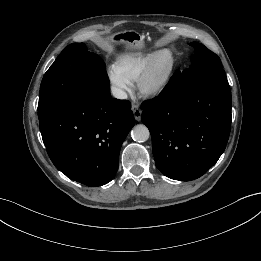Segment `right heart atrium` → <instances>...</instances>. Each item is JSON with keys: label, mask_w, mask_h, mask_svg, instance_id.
<instances>
[{"label": "right heart atrium", "mask_w": 261, "mask_h": 261, "mask_svg": "<svg viewBox=\"0 0 261 261\" xmlns=\"http://www.w3.org/2000/svg\"><path fill=\"white\" fill-rule=\"evenodd\" d=\"M107 76L114 92L122 97L130 90V82L123 78L115 69L114 65L108 67Z\"/></svg>", "instance_id": "1"}]
</instances>
